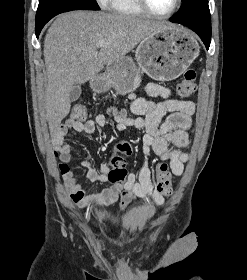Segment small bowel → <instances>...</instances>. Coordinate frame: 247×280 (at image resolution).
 I'll return each mask as SVG.
<instances>
[{
	"mask_svg": "<svg viewBox=\"0 0 247 280\" xmlns=\"http://www.w3.org/2000/svg\"><path fill=\"white\" fill-rule=\"evenodd\" d=\"M144 90L148 96L160 97L162 100L153 101L131 95V112L134 117L117 112L109 114V118L116 123L118 130L133 128L144 132L142 137L145 155L143 164L137 171L129 172L120 191H110L107 187L101 192L86 194L70 166L73 156L71 146L66 141L68 131L92 134L97 127L103 128L108 124L107 115L98 114L94 119L84 122L67 118L54 129L52 142L61 161L60 170L64 185L72 201L80 208L88 210L106 208L119 201L120 210H125L136 200L146 197L152 198L158 205L162 204L163 196L153 189L151 180L148 162V156L151 153H154L162 163L168 164L173 175L182 174L184 163L188 159L186 152L190 143L188 130L192 127L195 105L192 101L173 98L170 89L156 83H148ZM170 146L172 147L170 148ZM81 164L89 181L109 182L110 166L108 164L94 165L89 160H83Z\"/></svg>",
	"mask_w": 247,
	"mask_h": 280,
	"instance_id": "c3829d8e",
	"label": "small bowel"
}]
</instances>
